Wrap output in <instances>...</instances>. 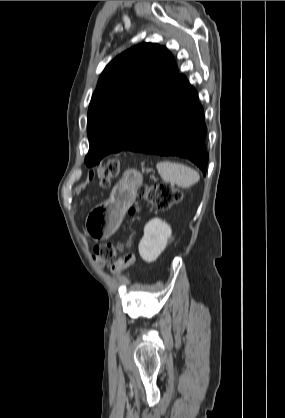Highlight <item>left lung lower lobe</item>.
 <instances>
[{
	"label": "left lung lower lobe",
	"instance_id": "obj_1",
	"mask_svg": "<svg viewBox=\"0 0 285 418\" xmlns=\"http://www.w3.org/2000/svg\"><path fill=\"white\" fill-rule=\"evenodd\" d=\"M206 133L198 94L186 77L178 74L123 150L180 156L205 172L208 162Z\"/></svg>",
	"mask_w": 285,
	"mask_h": 418
}]
</instances>
